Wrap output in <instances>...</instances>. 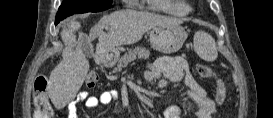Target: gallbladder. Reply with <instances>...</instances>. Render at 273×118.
<instances>
[{
  "mask_svg": "<svg viewBox=\"0 0 273 118\" xmlns=\"http://www.w3.org/2000/svg\"><path fill=\"white\" fill-rule=\"evenodd\" d=\"M82 50L84 54L88 57H91L93 54V48L91 47L90 44H87L86 42L83 43Z\"/></svg>",
  "mask_w": 273,
  "mask_h": 118,
  "instance_id": "obj_1",
  "label": "gallbladder"
}]
</instances>
